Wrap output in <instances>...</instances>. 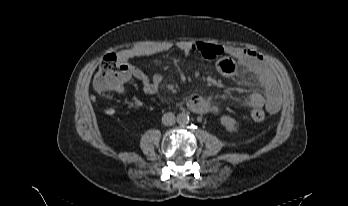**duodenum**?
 Instances as JSON below:
<instances>
[{
	"mask_svg": "<svg viewBox=\"0 0 348 206\" xmlns=\"http://www.w3.org/2000/svg\"><path fill=\"white\" fill-rule=\"evenodd\" d=\"M206 109H207V108H206L205 106H202V107L196 108L195 111L198 112V113H203V112L206 111Z\"/></svg>",
	"mask_w": 348,
	"mask_h": 206,
	"instance_id": "obj_1",
	"label": "duodenum"
}]
</instances>
